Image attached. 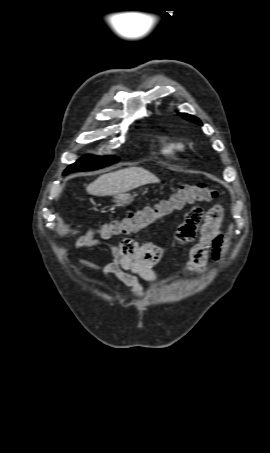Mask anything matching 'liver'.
I'll list each match as a JSON object with an SVG mask.
<instances>
[{"instance_id":"6515ba94","label":"liver","mask_w":270,"mask_h":453,"mask_svg":"<svg viewBox=\"0 0 270 453\" xmlns=\"http://www.w3.org/2000/svg\"><path fill=\"white\" fill-rule=\"evenodd\" d=\"M159 182L160 180L148 170L130 167L99 176L87 186L86 191L95 196H114L142 185Z\"/></svg>"}]
</instances>
